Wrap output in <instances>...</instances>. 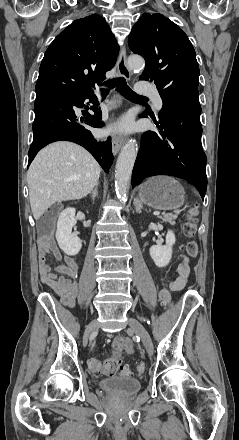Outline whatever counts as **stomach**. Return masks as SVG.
Listing matches in <instances>:
<instances>
[{
	"instance_id": "obj_1",
	"label": "stomach",
	"mask_w": 239,
	"mask_h": 440,
	"mask_svg": "<svg viewBox=\"0 0 239 440\" xmlns=\"http://www.w3.org/2000/svg\"><path fill=\"white\" fill-rule=\"evenodd\" d=\"M140 202L154 210H177L185 202V190L168 176H153L138 188Z\"/></svg>"
}]
</instances>
